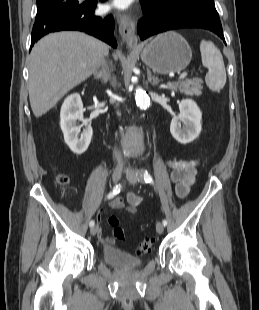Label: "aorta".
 Returning a JSON list of instances; mask_svg holds the SVG:
<instances>
[{"label":"aorta","instance_id":"aorta-1","mask_svg":"<svg viewBox=\"0 0 259 310\" xmlns=\"http://www.w3.org/2000/svg\"><path fill=\"white\" fill-rule=\"evenodd\" d=\"M136 104L140 109H147L150 106V97L140 87L136 88ZM143 133L140 129L128 130L123 137L126 147L135 155L140 154L143 149Z\"/></svg>","mask_w":259,"mask_h":310}]
</instances>
